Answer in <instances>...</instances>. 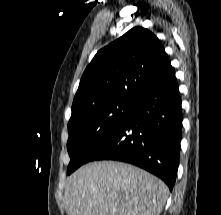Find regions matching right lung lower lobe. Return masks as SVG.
I'll use <instances>...</instances> for the list:
<instances>
[{
    "label": "right lung lower lobe",
    "mask_w": 221,
    "mask_h": 215,
    "mask_svg": "<svg viewBox=\"0 0 221 215\" xmlns=\"http://www.w3.org/2000/svg\"><path fill=\"white\" fill-rule=\"evenodd\" d=\"M182 120L179 86L173 77L134 100L131 110L87 162L131 163L158 176L172 190L179 165Z\"/></svg>",
    "instance_id": "98d812e1"
}]
</instances>
